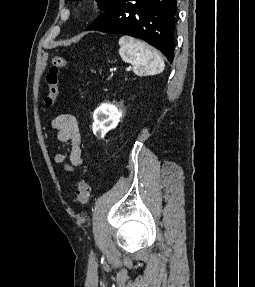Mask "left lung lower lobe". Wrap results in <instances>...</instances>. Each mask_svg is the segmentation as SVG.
Here are the masks:
<instances>
[{
    "instance_id": "0a47b994",
    "label": "left lung lower lobe",
    "mask_w": 255,
    "mask_h": 287,
    "mask_svg": "<svg viewBox=\"0 0 255 287\" xmlns=\"http://www.w3.org/2000/svg\"><path fill=\"white\" fill-rule=\"evenodd\" d=\"M176 20L177 0H114L85 30L142 39L172 63Z\"/></svg>"
}]
</instances>
